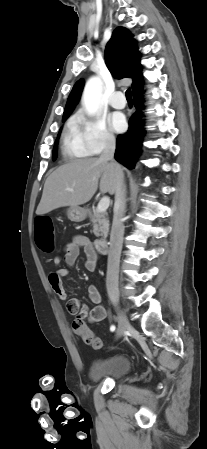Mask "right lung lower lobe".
Instances as JSON below:
<instances>
[{
    "mask_svg": "<svg viewBox=\"0 0 207 449\" xmlns=\"http://www.w3.org/2000/svg\"><path fill=\"white\" fill-rule=\"evenodd\" d=\"M133 97L137 111L129 120L128 131L118 136L115 151V159L129 169L135 167L137 158L140 156L141 144L145 134L144 124L141 119L143 117L142 88L134 92Z\"/></svg>",
    "mask_w": 207,
    "mask_h": 449,
    "instance_id": "obj_1",
    "label": "right lung lower lobe"
}]
</instances>
